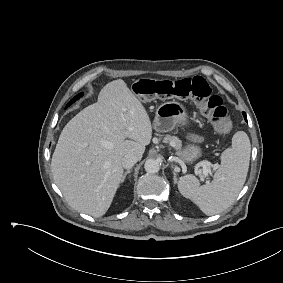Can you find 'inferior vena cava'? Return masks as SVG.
<instances>
[{"label":"inferior vena cava","instance_id":"inferior-vena-cava-1","mask_svg":"<svg viewBox=\"0 0 283 283\" xmlns=\"http://www.w3.org/2000/svg\"><path fill=\"white\" fill-rule=\"evenodd\" d=\"M139 160L138 156L134 153L126 154L122 158V166L125 169H130L134 166V164Z\"/></svg>","mask_w":283,"mask_h":283}]
</instances>
